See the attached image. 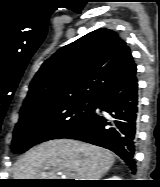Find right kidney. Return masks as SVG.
<instances>
[{"label":"right kidney","mask_w":160,"mask_h":187,"mask_svg":"<svg viewBox=\"0 0 160 187\" xmlns=\"http://www.w3.org/2000/svg\"><path fill=\"white\" fill-rule=\"evenodd\" d=\"M107 180H120V178H118V176H113L112 178H108Z\"/></svg>","instance_id":"1"}]
</instances>
